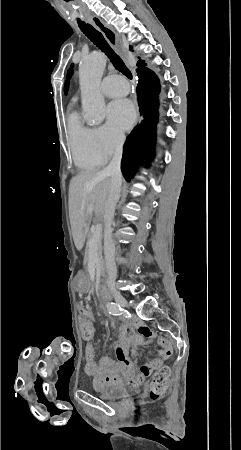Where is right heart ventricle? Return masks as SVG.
I'll list each match as a JSON object with an SVG mask.
<instances>
[{
  "mask_svg": "<svg viewBox=\"0 0 241 450\" xmlns=\"http://www.w3.org/2000/svg\"><path fill=\"white\" fill-rule=\"evenodd\" d=\"M94 129L85 126L76 112L69 114L67 134L75 164L79 168H94L103 165L106 159L96 152L91 133ZM98 137V142H99Z\"/></svg>",
  "mask_w": 241,
  "mask_h": 450,
  "instance_id": "e07e8e85",
  "label": "right heart ventricle"
}]
</instances>
